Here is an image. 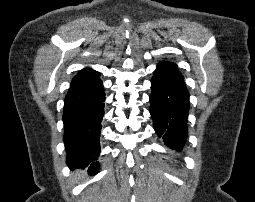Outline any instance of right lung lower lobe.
I'll return each instance as SVG.
<instances>
[{"label": "right lung lower lobe", "instance_id": "obj_1", "mask_svg": "<svg viewBox=\"0 0 255 202\" xmlns=\"http://www.w3.org/2000/svg\"><path fill=\"white\" fill-rule=\"evenodd\" d=\"M105 93L102 81L73 85L64 100V137L67 165L89 166L92 174L99 168V137L104 115Z\"/></svg>", "mask_w": 255, "mask_h": 202}]
</instances>
